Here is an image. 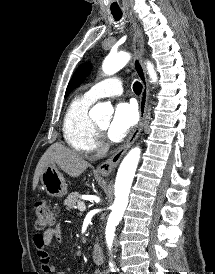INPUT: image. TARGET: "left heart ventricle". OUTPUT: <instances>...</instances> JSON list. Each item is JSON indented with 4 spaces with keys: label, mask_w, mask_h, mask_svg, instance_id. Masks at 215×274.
<instances>
[{
    "label": "left heart ventricle",
    "mask_w": 215,
    "mask_h": 274,
    "mask_svg": "<svg viewBox=\"0 0 215 274\" xmlns=\"http://www.w3.org/2000/svg\"><path fill=\"white\" fill-rule=\"evenodd\" d=\"M102 129H104V128H106L107 127V125H108V123L107 122H105V121H102V122H98L97 123Z\"/></svg>",
    "instance_id": "1"
}]
</instances>
